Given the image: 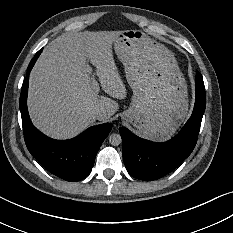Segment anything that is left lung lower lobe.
<instances>
[{"label":"left lung lower lobe","mask_w":233,"mask_h":233,"mask_svg":"<svg viewBox=\"0 0 233 233\" xmlns=\"http://www.w3.org/2000/svg\"><path fill=\"white\" fill-rule=\"evenodd\" d=\"M196 99L193 113L181 131L163 143L137 137L125 127L119 128L123 160L129 174L140 180L159 179L178 167L193 151L206 107L202 75L196 71Z\"/></svg>","instance_id":"0a47b994"}]
</instances>
